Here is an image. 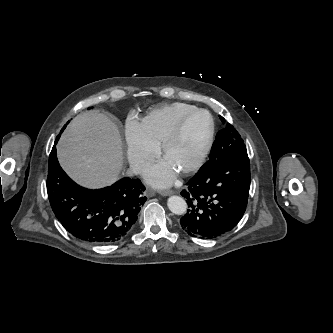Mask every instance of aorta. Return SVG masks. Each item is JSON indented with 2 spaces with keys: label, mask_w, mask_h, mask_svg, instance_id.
Segmentation results:
<instances>
[{
  "label": "aorta",
  "mask_w": 333,
  "mask_h": 333,
  "mask_svg": "<svg viewBox=\"0 0 333 333\" xmlns=\"http://www.w3.org/2000/svg\"><path fill=\"white\" fill-rule=\"evenodd\" d=\"M168 208L172 213L182 215L187 211V203L180 196H171L168 199Z\"/></svg>",
  "instance_id": "1"
}]
</instances>
